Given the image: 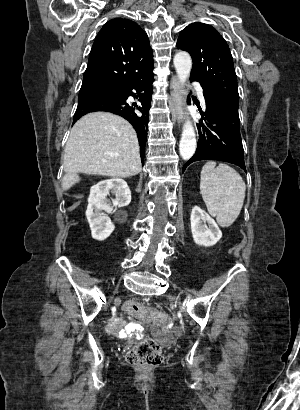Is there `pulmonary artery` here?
<instances>
[{
  "label": "pulmonary artery",
  "mask_w": 300,
  "mask_h": 410,
  "mask_svg": "<svg viewBox=\"0 0 300 410\" xmlns=\"http://www.w3.org/2000/svg\"><path fill=\"white\" fill-rule=\"evenodd\" d=\"M196 90H197V93H198V95H199L201 101L204 103V96H203V89H202V87L199 86V85H196Z\"/></svg>",
  "instance_id": "e3ab8cb5"
}]
</instances>
